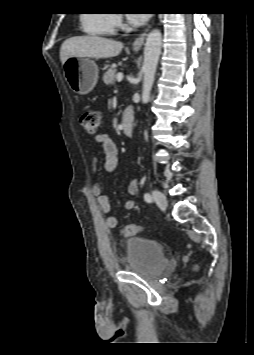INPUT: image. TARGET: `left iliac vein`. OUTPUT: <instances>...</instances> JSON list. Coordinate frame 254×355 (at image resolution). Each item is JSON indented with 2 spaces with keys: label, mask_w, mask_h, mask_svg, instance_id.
Segmentation results:
<instances>
[{
  "label": "left iliac vein",
  "mask_w": 254,
  "mask_h": 355,
  "mask_svg": "<svg viewBox=\"0 0 254 355\" xmlns=\"http://www.w3.org/2000/svg\"><path fill=\"white\" fill-rule=\"evenodd\" d=\"M153 199L160 209H166L167 199L163 193H161L160 191H153Z\"/></svg>",
  "instance_id": "1"
}]
</instances>
